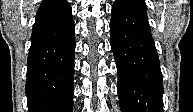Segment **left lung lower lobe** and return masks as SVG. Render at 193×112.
Here are the masks:
<instances>
[{"mask_svg":"<svg viewBox=\"0 0 193 112\" xmlns=\"http://www.w3.org/2000/svg\"><path fill=\"white\" fill-rule=\"evenodd\" d=\"M144 0H115L111 49L121 112H163V84Z\"/></svg>","mask_w":193,"mask_h":112,"instance_id":"0a47b994","label":"left lung lower lobe"}]
</instances>
